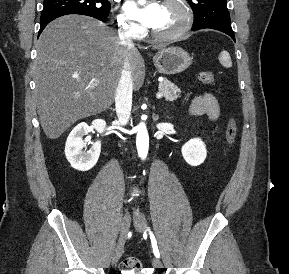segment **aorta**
<instances>
[{"mask_svg": "<svg viewBox=\"0 0 289 274\" xmlns=\"http://www.w3.org/2000/svg\"><path fill=\"white\" fill-rule=\"evenodd\" d=\"M136 145L139 156L145 159L149 149V136L145 123H140L137 126Z\"/></svg>", "mask_w": 289, "mask_h": 274, "instance_id": "obj_1", "label": "aorta"}]
</instances>
